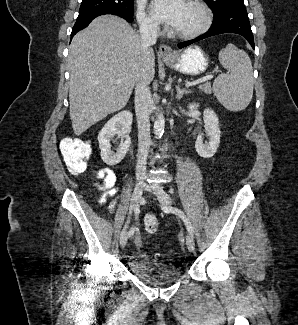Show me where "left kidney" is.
<instances>
[{"label": "left kidney", "mask_w": 298, "mask_h": 325, "mask_svg": "<svg viewBox=\"0 0 298 325\" xmlns=\"http://www.w3.org/2000/svg\"><path fill=\"white\" fill-rule=\"evenodd\" d=\"M198 106H200L199 102H189L187 104L189 110H198ZM203 120L205 122V132L209 136V142L208 144H204L203 132H200L195 140V148L203 158H211L220 144L221 130L219 118L215 110H212V108H204Z\"/></svg>", "instance_id": "1"}]
</instances>
